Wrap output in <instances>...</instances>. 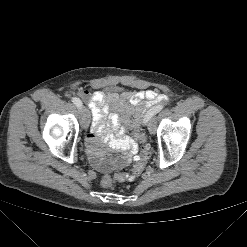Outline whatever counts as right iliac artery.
Masks as SVG:
<instances>
[{"instance_id": "1", "label": "right iliac artery", "mask_w": 247, "mask_h": 247, "mask_svg": "<svg viewBox=\"0 0 247 247\" xmlns=\"http://www.w3.org/2000/svg\"><path fill=\"white\" fill-rule=\"evenodd\" d=\"M72 102L78 107V108H81L82 107V102L79 98L77 97H74L72 98Z\"/></svg>"}]
</instances>
